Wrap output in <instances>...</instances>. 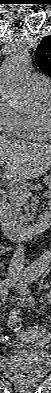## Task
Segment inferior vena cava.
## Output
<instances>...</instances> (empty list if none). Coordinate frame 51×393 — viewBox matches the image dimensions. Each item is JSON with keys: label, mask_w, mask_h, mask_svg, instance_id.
Masks as SVG:
<instances>
[{"label": "inferior vena cava", "mask_w": 51, "mask_h": 393, "mask_svg": "<svg viewBox=\"0 0 51 393\" xmlns=\"http://www.w3.org/2000/svg\"><path fill=\"white\" fill-rule=\"evenodd\" d=\"M24 258V245L22 244V242H19L8 268V273L10 275L20 274L22 272L24 268Z\"/></svg>", "instance_id": "602c4592"}]
</instances>
